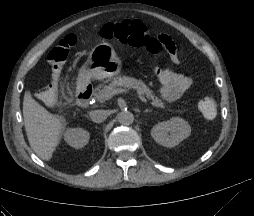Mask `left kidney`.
<instances>
[{"instance_id":"1","label":"left kidney","mask_w":254,"mask_h":216,"mask_svg":"<svg viewBox=\"0 0 254 216\" xmlns=\"http://www.w3.org/2000/svg\"><path fill=\"white\" fill-rule=\"evenodd\" d=\"M191 134V127L184 119L173 117L170 120L156 124L151 135L153 139L164 147H175Z\"/></svg>"}]
</instances>
